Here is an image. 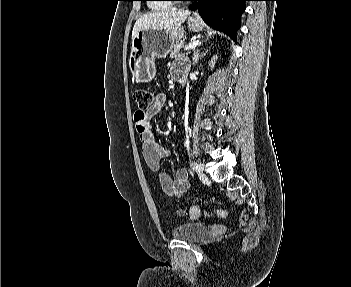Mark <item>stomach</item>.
<instances>
[{"mask_svg": "<svg viewBox=\"0 0 351 287\" xmlns=\"http://www.w3.org/2000/svg\"><path fill=\"white\" fill-rule=\"evenodd\" d=\"M188 28L194 32L202 29L199 19L189 18ZM184 35L182 27L174 29L140 30L132 40L129 68L133 77L142 83L151 81L156 73L155 59L165 58L175 41Z\"/></svg>", "mask_w": 351, "mask_h": 287, "instance_id": "0dacf381", "label": "stomach"}]
</instances>
